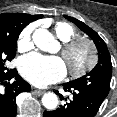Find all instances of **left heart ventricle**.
<instances>
[{"label":"left heart ventricle","instance_id":"b2bd125f","mask_svg":"<svg viewBox=\"0 0 117 117\" xmlns=\"http://www.w3.org/2000/svg\"><path fill=\"white\" fill-rule=\"evenodd\" d=\"M85 57H86V52H85L84 49H82V50H80V51L78 52V54L75 56L74 62H75L76 64L81 63V62H83V61L85 60Z\"/></svg>","mask_w":117,"mask_h":117}]
</instances>
